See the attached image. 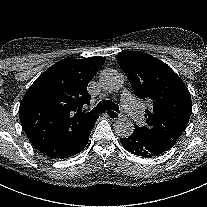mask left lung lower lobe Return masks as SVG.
<instances>
[{"mask_svg": "<svg viewBox=\"0 0 207 207\" xmlns=\"http://www.w3.org/2000/svg\"><path fill=\"white\" fill-rule=\"evenodd\" d=\"M120 141L127 151L142 157L157 156L169 150L138 129H135L130 137L120 138Z\"/></svg>", "mask_w": 207, "mask_h": 207, "instance_id": "1", "label": "left lung lower lobe"}]
</instances>
